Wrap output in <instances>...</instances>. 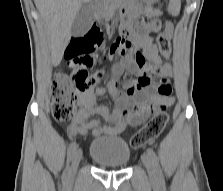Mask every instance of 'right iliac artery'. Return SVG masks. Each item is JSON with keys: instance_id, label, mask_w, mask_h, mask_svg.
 I'll return each mask as SVG.
<instances>
[{"instance_id": "right-iliac-artery-1", "label": "right iliac artery", "mask_w": 223, "mask_h": 191, "mask_svg": "<svg viewBox=\"0 0 223 191\" xmlns=\"http://www.w3.org/2000/svg\"><path fill=\"white\" fill-rule=\"evenodd\" d=\"M76 148H77V144L76 142H73L70 144L69 148H68V156H67V166H66V169L64 171V174H63V177L64 179H68V163L71 161L72 159V156L74 154V152L76 151Z\"/></svg>"}]
</instances>
